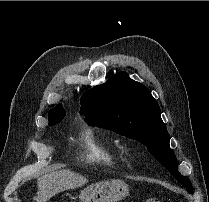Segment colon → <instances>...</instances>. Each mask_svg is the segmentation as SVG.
<instances>
[{"label": "colon", "mask_w": 209, "mask_h": 202, "mask_svg": "<svg viewBox=\"0 0 209 202\" xmlns=\"http://www.w3.org/2000/svg\"><path fill=\"white\" fill-rule=\"evenodd\" d=\"M144 202H162V201L156 198H148Z\"/></svg>", "instance_id": "5ec220e1"}]
</instances>
